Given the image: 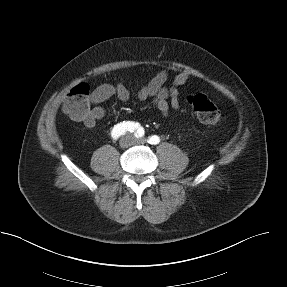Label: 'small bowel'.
<instances>
[{"label": "small bowel", "mask_w": 287, "mask_h": 287, "mask_svg": "<svg viewBox=\"0 0 287 287\" xmlns=\"http://www.w3.org/2000/svg\"><path fill=\"white\" fill-rule=\"evenodd\" d=\"M189 78V73L182 71L174 77L171 85L166 87L165 83L168 80V73L166 70H161L146 85L139 89L136 99L139 101L151 99L158 111L163 115H167L170 109H179V88ZM113 96L118 97L122 101H128L131 98L129 90L121 82L116 85L105 83L94 89L90 96V111L82 121L87 128L94 129L97 122L105 116L102 104Z\"/></svg>", "instance_id": "small-bowel-1"}]
</instances>
